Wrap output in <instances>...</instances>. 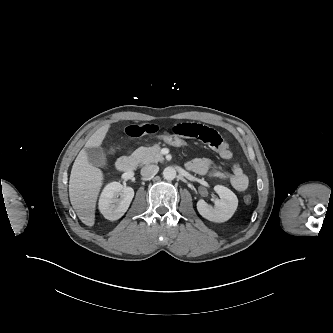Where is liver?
Returning <instances> with one entry per match:
<instances>
[{
	"instance_id": "6515ba94",
	"label": "liver",
	"mask_w": 333,
	"mask_h": 333,
	"mask_svg": "<svg viewBox=\"0 0 333 333\" xmlns=\"http://www.w3.org/2000/svg\"><path fill=\"white\" fill-rule=\"evenodd\" d=\"M110 125L100 127L76 157L69 179V197L79 219L87 226L95 223L96 201L103 185V173L88 160L87 148L101 146Z\"/></svg>"
}]
</instances>
